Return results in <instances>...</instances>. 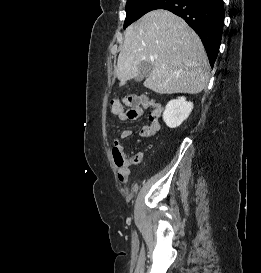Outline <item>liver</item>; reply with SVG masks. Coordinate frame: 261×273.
<instances>
[{
  "mask_svg": "<svg viewBox=\"0 0 261 273\" xmlns=\"http://www.w3.org/2000/svg\"><path fill=\"white\" fill-rule=\"evenodd\" d=\"M118 56L119 86L135 78L142 62L153 70L144 86L159 94H198L209 81V62L198 35L177 15L163 9L130 25Z\"/></svg>",
  "mask_w": 261,
  "mask_h": 273,
  "instance_id": "6515ba94",
  "label": "liver"
}]
</instances>
